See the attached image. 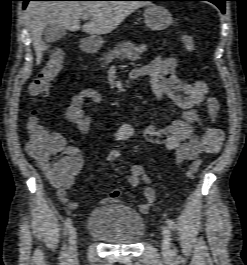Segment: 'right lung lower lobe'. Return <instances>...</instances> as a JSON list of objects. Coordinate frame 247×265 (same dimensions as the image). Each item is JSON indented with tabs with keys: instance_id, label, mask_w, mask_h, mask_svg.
I'll list each match as a JSON object with an SVG mask.
<instances>
[{
	"instance_id": "obj_1",
	"label": "right lung lower lobe",
	"mask_w": 247,
	"mask_h": 265,
	"mask_svg": "<svg viewBox=\"0 0 247 265\" xmlns=\"http://www.w3.org/2000/svg\"><path fill=\"white\" fill-rule=\"evenodd\" d=\"M22 1H24L23 8H25V7L27 6V3H28L29 1H32V0H22Z\"/></svg>"
}]
</instances>
